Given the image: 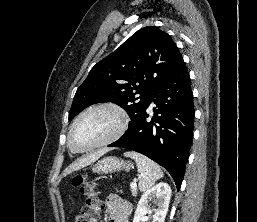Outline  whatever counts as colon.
<instances>
[{"label":"colon","mask_w":257,"mask_h":222,"mask_svg":"<svg viewBox=\"0 0 257 222\" xmlns=\"http://www.w3.org/2000/svg\"><path fill=\"white\" fill-rule=\"evenodd\" d=\"M72 185L78 187L85 196V205L76 216L74 222H97L99 219L102 202L94 183L89 181L84 174H76L72 178Z\"/></svg>","instance_id":"5ec220e1"}]
</instances>
